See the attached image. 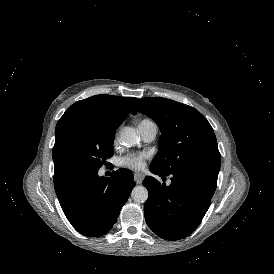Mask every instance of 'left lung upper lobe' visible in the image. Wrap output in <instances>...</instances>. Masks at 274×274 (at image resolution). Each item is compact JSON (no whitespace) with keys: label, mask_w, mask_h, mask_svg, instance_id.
<instances>
[{"label":"left lung upper lobe","mask_w":274,"mask_h":274,"mask_svg":"<svg viewBox=\"0 0 274 274\" xmlns=\"http://www.w3.org/2000/svg\"><path fill=\"white\" fill-rule=\"evenodd\" d=\"M151 117L161 130L159 152L150 166L165 173L202 170L218 174L221 156L207 119L193 107L166 98H142L132 113Z\"/></svg>","instance_id":"5c2ea615"}]
</instances>
